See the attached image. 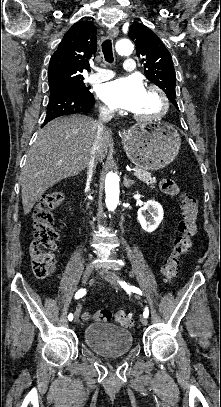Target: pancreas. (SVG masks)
<instances>
[{
	"instance_id": "1",
	"label": "pancreas",
	"mask_w": 221,
	"mask_h": 407,
	"mask_svg": "<svg viewBox=\"0 0 221 407\" xmlns=\"http://www.w3.org/2000/svg\"><path fill=\"white\" fill-rule=\"evenodd\" d=\"M134 171L138 173L137 178L140 179L142 182H144L146 185L150 186L151 188H154V184L156 183L155 178L151 176V173L140 169V168H135Z\"/></svg>"
}]
</instances>
